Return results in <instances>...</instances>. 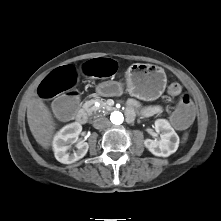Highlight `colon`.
I'll use <instances>...</instances> for the list:
<instances>
[{"label":"colon","mask_w":221,"mask_h":221,"mask_svg":"<svg viewBox=\"0 0 221 221\" xmlns=\"http://www.w3.org/2000/svg\"><path fill=\"white\" fill-rule=\"evenodd\" d=\"M114 70L115 62L106 58L89 62L84 67L87 74L97 77L109 76ZM77 78L76 70L65 66L51 72L39 86V96L44 99L56 97L64 92L62 96L55 99L51 110L53 119L58 122L67 120L77 111L82 102V95L79 91L69 90L76 84ZM168 93L178 96L182 93V86L176 82L172 83L168 87ZM194 111L195 106L190 96L184 94L180 98L178 108L171 115V121L178 128H186L194 121Z\"/></svg>","instance_id":"1"}]
</instances>
